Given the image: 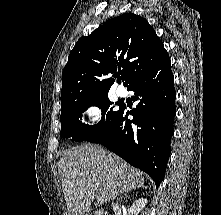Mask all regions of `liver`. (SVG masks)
Here are the masks:
<instances>
[{"instance_id": "6515ba94", "label": "liver", "mask_w": 221, "mask_h": 215, "mask_svg": "<svg viewBox=\"0 0 221 215\" xmlns=\"http://www.w3.org/2000/svg\"><path fill=\"white\" fill-rule=\"evenodd\" d=\"M68 215H84L95 191L107 202L144 187L142 173L100 146L86 144L66 150L58 164Z\"/></svg>"}]
</instances>
